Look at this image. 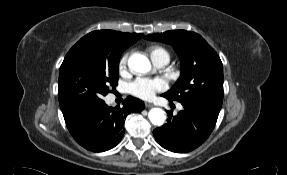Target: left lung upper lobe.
Listing matches in <instances>:
<instances>
[{"label":"left lung upper lobe","instance_id":"5c2ea615","mask_svg":"<svg viewBox=\"0 0 287 175\" xmlns=\"http://www.w3.org/2000/svg\"><path fill=\"white\" fill-rule=\"evenodd\" d=\"M170 44L181 60V76L164 95L171 101L200 107L218 118L223 100V65L201 35L174 30L145 36Z\"/></svg>","mask_w":287,"mask_h":175}]
</instances>
